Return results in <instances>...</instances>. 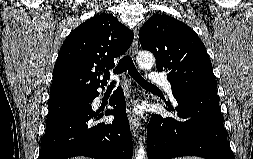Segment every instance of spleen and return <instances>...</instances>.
Returning <instances> with one entry per match:
<instances>
[{
	"mask_svg": "<svg viewBox=\"0 0 253 159\" xmlns=\"http://www.w3.org/2000/svg\"><path fill=\"white\" fill-rule=\"evenodd\" d=\"M177 159V158H176ZM178 159H202V158H199V157H195V156H187V157H180Z\"/></svg>",
	"mask_w": 253,
	"mask_h": 159,
	"instance_id": "1",
	"label": "spleen"
}]
</instances>
